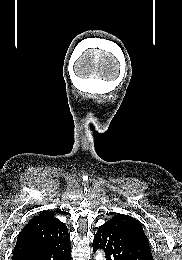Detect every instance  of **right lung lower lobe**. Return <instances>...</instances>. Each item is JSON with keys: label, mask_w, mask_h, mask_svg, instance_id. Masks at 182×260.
Returning a JSON list of instances; mask_svg holds the SVG:
<instances>
[{"label": "right lung lower lobe", "mask_w": 182, "mask_h": 260, "mask_svg": "<svg viewBox=\"0 0 182 260\" xmlns=\"http://www.w3.org/2000/svg\"><path fill=\"white\" fill-rule=\"evenodd\" d=\"M14 260H71L70 240L52 248L30 252Z\"/></svg>", "instance_id": "1"}]
</instances>
